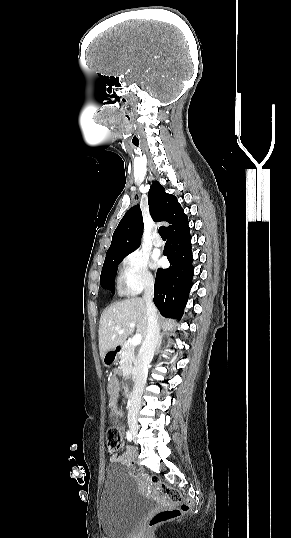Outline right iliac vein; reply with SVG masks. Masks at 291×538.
<instances>
[{
  "instance_id": "63e3f726",
  "label": "right iliac vein",
  "mask_w": 291,
  "mask_h": 538,
  "mask_svg": "<svg viewBox=\"0 0 291 538\" xmlns=\"http://www.w3.org/2000/svg\"><path fill=\"white\" fill-rule=\"evenodd\" d=\"M129 428H130V431H131V434L133 435V437L136 438V435H137V432H138V424L135 421L130 420L129 421Z\"/></svg>"
}]
</instances>
